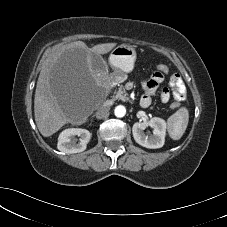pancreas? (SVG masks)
<instances>
[{
  "label": "pancreas",
  "mask_w": 227,
  "mask_h": 227,
  "mask_svg": "<svg viewBox=\"0 0 227 227\" xmlns=\"http://www.w3.org/2000/svg\"><path fill=\"white\" fill-rule=\"evenodd\" d=\"M113 100H122L127 101L129 100L127 93L125 91V88L121 86L119 90L115 93V96L113 97Z\"/></svg>",
  "instance_id": "1"
}]
</instances>
